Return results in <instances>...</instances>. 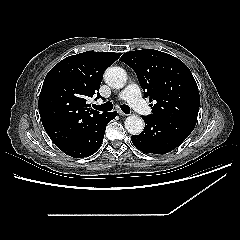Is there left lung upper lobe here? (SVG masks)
<instances>
[{"mask_svg": "<svg viewBox=\"0 0 240 240\" xmlns=\"http://www.w3.org/2000/svg\"><path fill=\"white\" fill-rule=\"evenodd\" d=\"M120 61L136 73L156 119H197L200 97L189 68L178 58L153 49L130 51Z\"/></svg>", "mask_w": 240, "mask_h": 240, "instance_id": "left-lung-upper-lobe-1", "label": "left lung upper lobe"}]
</instances>
